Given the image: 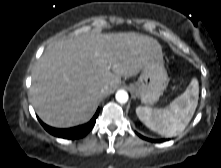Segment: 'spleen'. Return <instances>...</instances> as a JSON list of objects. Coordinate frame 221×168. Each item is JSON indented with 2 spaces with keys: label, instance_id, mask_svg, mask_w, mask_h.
<instances>
[{
  "label": "spleen",
  "instance_id": "spleen-1",
  "mask_svg": "<svg viewBox=\"0 0 221 168\" xmlns=\"http://www.w3.org/2000/svg\"><path fill=\"white\" fill-rule=\"evenodd\" d=\"M199 84L193 78L183 94L175 98L164 109L137 107L136 114L152 131L164 136L173 137L184 131L194 115L198 104Z\"/></svg>",
  "mask_w": 221,
  "mask_h": 168
}]
</instances>
